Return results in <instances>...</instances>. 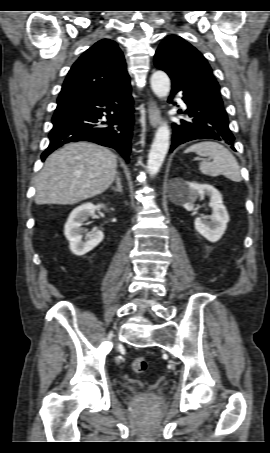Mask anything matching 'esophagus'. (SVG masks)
<instances>
[{
	"instance_id": "esophagus-1",
	"label": "esophagus",
	"mask_w": 270,
	"mask_h": 453,
	"mask_svg": "<svg viewBox=\"0 0 270 453\" xmlns=\"http://www.w3.org/2000/svg\"><path fill=\"white\" fill-rule=\"evenodd\" d=\"M148 118L152 127H157L161 122V113L158 105L152 99L148 103Z\"/></svg>"
}]
</instances>
